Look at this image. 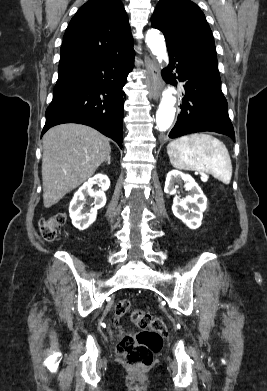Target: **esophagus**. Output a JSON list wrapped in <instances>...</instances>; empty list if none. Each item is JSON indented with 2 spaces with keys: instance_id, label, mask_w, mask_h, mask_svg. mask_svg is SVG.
Returning <instances> with one entry per match:
<instances>
[{
  "instance_id": "1",
  "label": "esophagus",
  "mask_w": 267,
  "mask_h": 391,
  "mask_svg": "<svg viewBox=\"0 0 267 391\" xmlns=\"http://www.w3.org/2000/svg\"><path fill=\"white\" fill-rule=\"evenodd\" d=\"M145 62H146V69L148 72L149 88L153 97L157 99L160 96V93L163 88L160 70L158 65L149 57L145 58Z\"/></svg>"
}]
</instances>
